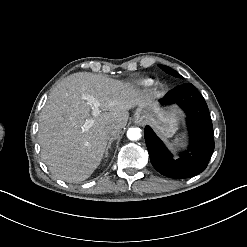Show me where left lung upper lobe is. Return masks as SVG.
<instances>
[{
  "instance_id": "5c2ea615",
  "label": "left lung upper lobe",
  "mask_w": 247,
  "mask_h": 247,
  "mask_svg": "<svg viewBox=\"0 0 247 247\" xmlns=\"http://www.w3.org/2000/svg\"><path fill=\"white\" fill-rule=\"evenodd\" d=\"M162 70H164L166 73L178 77V78H182V76L177 73L175 70H173L172 68L165 66V65H158Z\"/></svg>"
}]
</instances>
